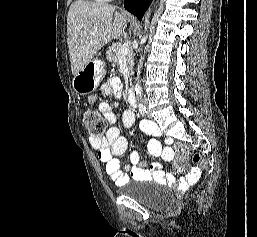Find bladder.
<instances>
[{
    "instance_id": "bladder-1",
    "label": "bladder",
    "mask_w": 257,
    "mask_h": 237,
    "mask_svg": "<svg viewBox=\"0 0 257 237\" xmlns=\"http://www.w3.org/2000/svg\"><path fill=\"white\" fill-rule=\"evenodd\" d=\"M145 182L140 180L139 183ZM153 183V182H148ZM121 189L124 196L130 197L136 202L148 207H160L172 200V196L162 190L154 191L141 186H137L136 183L128 182Z\"/></svg>"
}]
</instances>
